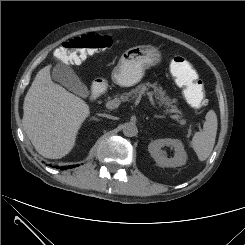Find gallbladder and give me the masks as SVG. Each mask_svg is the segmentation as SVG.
<instances>
[{
    "mask_svg": "<svg viewBox=\"0 0 245 245\" xmlns=\"http://www.w3.org/2000/svg\"><path fill=\"white\" fill-rule=\"evenodd\" d=\"M52 77L55 81L66 87L75 94L86 97L88 89L86 85L80 80L74 70L66 64H57L52 71Z\"/></svg>",
    "mask_w": 245,
    "mask_h": 245,
    "instance_id": "1",
    "label": "gallbladder"
}]
</instances>
